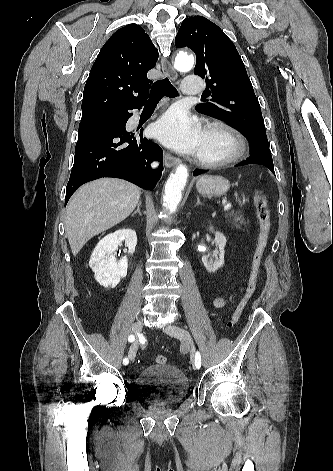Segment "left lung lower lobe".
<instances>
[{
    "label": "left lung lower lobe",
    "instance_id": "left-lung-lower-lobe-1",
    "mask_svg": "<svg viewBox=\"0 0 333 471\" xmlns=\"http://www.w3.org/2000/svg\"><path fill=\"white\" fill-rule=\"evenodd\" d=\"M247 164H261L269 168L274 174V165L271 153L269 152H262L258 154H251L248 159L245 161L237 164V166L247 165ZM207 170H195L194 175H199L205 173Z\"/></svg>",
    "mask_w": 333,
    "mask_h": 471
}]
</instances>
